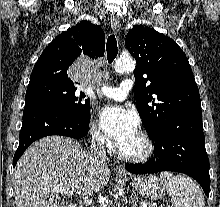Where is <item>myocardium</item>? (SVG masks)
<instances>
[{"label": "myocardium", "instance_id": "myocardium-1", "mask_svg": "<svg viewBox=\"0 0 220 207\" xmlns=\"http://www.w3.org/2000/svg\"><path fill=\"white\" fill-rule=\"evenodd\" d=\"M138 133L145 143L144 151L139 155H126L122 153L118 147L116 149V154L120 159L131 163H142L147 161L153 155L155 145L152 137L145 130H139Z\"/></svg>", "mask_w": 220, "mask_h": 207}]
</instances>
